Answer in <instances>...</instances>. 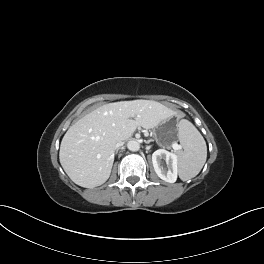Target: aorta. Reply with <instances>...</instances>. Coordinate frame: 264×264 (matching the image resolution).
Segmentation results:
<instances>
[{
	"label": "aorta",
	"mask_w": 264,
	"mask_h": 264,
	"mask_svg": "<svg viewBox=\"0 0 264 264\" xmlns=\"http://www.w3.org/2000/svg\"><path fill=\"white\" fill-rule=\"evenodd\" d=\"M127 148L130 150V151H138L140 149V144L138 141L136 140H130L128 141L127 143Z\"/></svg>",
	"instance_id": "aorta-1"
}]
</instances>
